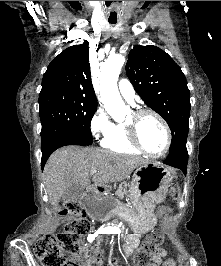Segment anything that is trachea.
Masks as SVG:
<instances>
[{"label": "trachea", "mask_w": 221, "mask_h": 266, "mask_svg": "<svg viewBox=\"0 0 221 266\" xmlns=\"http://www.w3.org/2000/svg\"><path fill=\"white\" fill-rule=\"evenodd\" d=\"M111 24H116V21H109Z\"/></svg>", "instance_id": "trachea-1"}]
</instances>
